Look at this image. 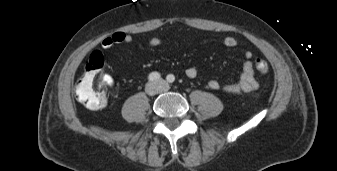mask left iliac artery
Listing matches in <instances>:
<instances>
[{"mask_svg": "<svg viewBox=\"0 0 337 171\" xmlns=\"http://www.w3.org/2000/svg\"><path fill=\"white\" fill-rule=\"evenodd\" d=\"M167 81L169 83H173L175 81V77L173 74H169L167 77H166Z\"/></svg>", "mask_w": 337, "mask_h": 171, "instance_id": "1", "label": "left iliac artery"}]
</instances>
